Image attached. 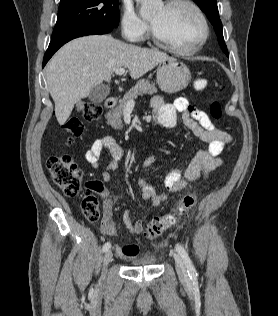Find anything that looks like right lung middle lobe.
I'll return each mask as SVG.
<instances>
[{
	"mask_svg": "<svg viewBox=\"0 0 278 316\" xmlns=\"http://www.w3.org/2000/svg\"><path fill=\"white\" fill-rule=\"evenodd\" d=\"M118 24V0H61L52 39L81 29Z\"/></svg>",
	"mask_w": 278,
	"mask_h": 316,
	"instance_id": "obj_1",
	"label": "right lung middle lobe"
}]
</instances>
